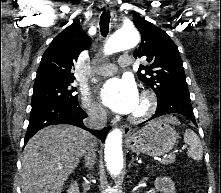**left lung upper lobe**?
Returning a JSON list of instances; mask_svg holds the SVG:
<instances>
[{"mask_svg": "<svg viewBox=\"0 0 221 193\" xmlns=\"http://www.w3.org/2000/svg\"><path fill=\"white\" fill-rule=\"evenodd\" d=\"M134 24L142 41L133 55L135 58L146 56L148 62V65L139 67V71L145 70L146 73L137 74L154 90L158 102L178 89H188L178 47L167 33L139 15L134 16Z\"/></svg>", "mask_w": 221, "mask_h": 193, "instance_id": "obj_1", "label": "left lung upper lobe"}]
</instances>
